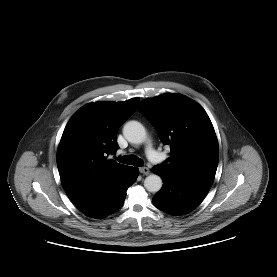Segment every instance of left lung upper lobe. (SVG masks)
I'll use <instances>...</instances> for the list:
<instances>
[{"label":"left lung upper lobe","mask_w":277,"mask_h":277,"mask_svg":"<svg viewBox=\"0 0 277 277\" xmlns=\"http://www.w3.org/2000/svg\"><path fill=\"white\" fill-rule=\"evenodd\" d=\"M151 122L171 156L159 167L184 179L213 183L219 148L213 125L205 110L179 94L146 99L138 107Z\"/></svg>","instance_id":"obj_1"}]
</instances>
